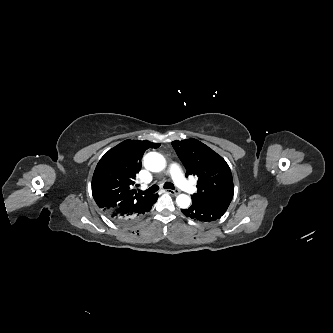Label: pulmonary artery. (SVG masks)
<instances>
[{"label":"pulmonary artery","instance_id":"obj_1","mask_svg":"<svg viewBox=\"0 0 333 333\" xmlns=\"http://www.w3.org/2000/svg\"><path fill=\"white\" fill-rule=\"evenodd\" d=\"M169 174L172 176L175 183L181 188L183 191L192 194L195 192V186L189 182L183 175L181 168L178 164L173 163L168 168Z\"/></svg>","mask_w":333,"mask_h":333}]
</instances>
